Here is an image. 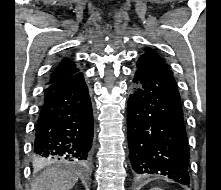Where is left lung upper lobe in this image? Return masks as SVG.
I'll return each mask as SVG.
<instances>
[{
  "mask_svg": "<svg viewBox=\"0 0 221 190\" xmlns=\"http://www.w3.org/2000/svg\"><path fill=\"white\" fill-rule=\"evenodd\" d=\"M143 55L153 57L159 62H161L163 65L167 66L165 62L163 61V59L152 49H146L145 54Z\"/></svg>",
  "mask_w": 221,
  "mask_h": 190,
  "instance_id": "5c2ea615",
  "label": "left lung upper lobe"
}]
</instances>
